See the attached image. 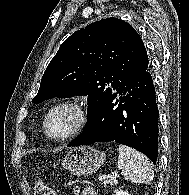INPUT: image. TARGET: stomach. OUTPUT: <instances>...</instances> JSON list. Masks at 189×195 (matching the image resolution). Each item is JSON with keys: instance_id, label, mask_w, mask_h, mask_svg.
<instances>
[{"instance_id": "stomach-1", "label": "stomach", "mask_w": 189, "mask_h": 195, "mask_svg": "<svg viewBox=\"0 0 189 195\" xmlns=\"http://www.w3.org/2000/svg\"><path fill=\"white\" fill-rule=\"evenodd\" d=\"M105 160L104 152L92 147H79L68 152L61 164L73 175L87 176L95 173Z\"/></svg>"}]
</instances>
